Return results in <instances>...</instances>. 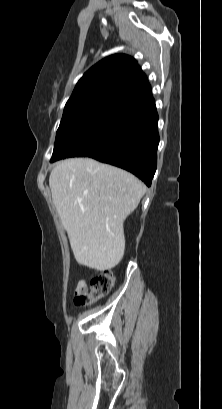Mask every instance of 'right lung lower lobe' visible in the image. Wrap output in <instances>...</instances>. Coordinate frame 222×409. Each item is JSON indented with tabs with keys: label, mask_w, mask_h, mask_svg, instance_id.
Here are the masks:
<instances>
[{
	"label": "right lung lower lobe",
	"mask_w": 222,
	"mask_h": 409,
	"mask_svg": "<svg viewBox=\"0 0 222 409\" xmlns=\"http://www.w3.org/2000/svg\"><path fill=\"white\" fill-rule=\"evenodd\" d=\"M158 143V114L152 99L119 113L99 147L86 157L130 171L150 186Z\"/></svg>",
	"instance_id": "right-lung-lower-lobe-1"
}]
</instances>
